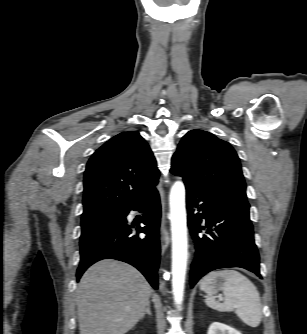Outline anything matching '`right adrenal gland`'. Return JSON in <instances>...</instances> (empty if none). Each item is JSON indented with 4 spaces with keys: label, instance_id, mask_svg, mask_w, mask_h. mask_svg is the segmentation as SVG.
<instances>
[{
    "label": "right adrenal gland",
    "instance_id": "obj_1",
    "mask_svg": "<svg viewBox=\"0 0 307 334\" xmlns=\"http://www.w3.org/2000/svg\"><path fill=\"white\" fill-rule=\"evenodd\" d=\"M146 314H148L149 316H151V315H152V313H151V309H150V303L148 304V306H147V308H146L145 312L143 313V315H142V318H141V319H143V318L145 317V315H146Z\"/></svg>",
    "mask_w": 307,
    "mask_h": 334
}]
</instances>
